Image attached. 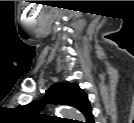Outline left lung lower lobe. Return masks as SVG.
I'll return each mask as SVG.
<instances>
[{"label": "left lung lower lobe", "instance_id": "obj_1", "mask_svg": "<svg viewBox=\"0 0 134 123\" xmlns=\"http://www.w3.org/2000/svg\"><path fill=\"white\" fill-rule=\"evenodd\" d=\"M90 123H94V121L92 120Z\"/></svg>", "mask_w": 134, "mask_h": 123}]
</instances>
